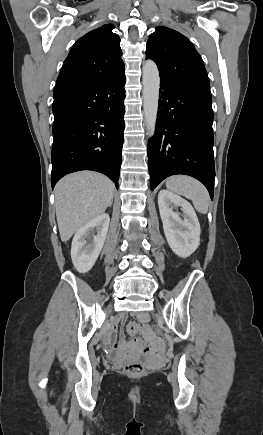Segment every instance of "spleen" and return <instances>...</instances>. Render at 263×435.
<instances>
[{"mask_svg": "<svg viewBox=\"0 0 263 435\" xmlns=\"http://www.w3.org/2000/svg\"><path fill=\"white\" fill-rule=\"evenodd\" d=\"M166 187L192 200L195 209L206 214L209 207V193L205 186L190 176L177 175L166 180Z\"/></svg>", "mask_w": 263, "mask_h": 435, "instance_id": "obj_1", "label": "spleen"}]
</instances>
